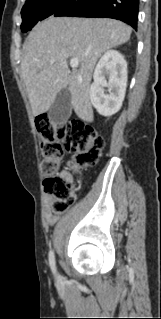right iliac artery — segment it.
<instances>
[{
    "instance_id": "82829eb1",
    "label": "right iliac artery",
    "mask_w": 161,
    "mask_h": 319,
    "mask_svg": "<svg viewBox=\"0 0 161 319\" xmlns=\"http://www.w3.org/2000/svg\"><path fill=\"white\" fill-rule=\"evenodd\" d=\"M49 264L51 267V270L53 272V274H56V266H55V256H54V252L53 250H50L49 252Z\"/></svg>"
}]
</instances>
